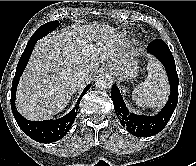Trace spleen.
<instances>
[{
    "label": "spleen",
    "mask_w": 196,
    "mask_h": 166,
    "mask_svg": "<svg viewBox=\"0 0 196 166\" xmlns=\"http://www.w3.org/2000/svg\"><path fill=\"white\" fill-rule=\"evenodd\" d=\"M147 77L132 93V99L141 107H157L168 98L169 87L161 65L150 59L147 65Z\"/></svg>",
    "instance_id": "obj_1"
}]
</instances>
